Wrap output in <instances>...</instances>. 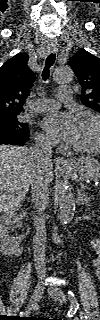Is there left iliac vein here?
Segmentation results:
<instances>
[{"label": "left iliac vein", "mask_w": 100, "mask_h": 320, "mask_svg": "<svg viewBox=\"0 0 100 320\" xmlns=\"http://www.w3.org/2000/svg\"><path fill=\"white\" fill-rule=\"evenodd\" d=\"M48 293L53 299H55L61 303L66 301V298H65L63 291L58 287L49 288ZM74 320H79V318L75 317Z\"/></svg>", "instance_id": "obj_1"}]
</instances>
